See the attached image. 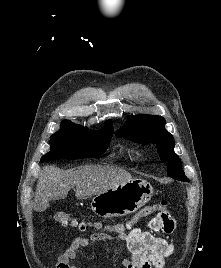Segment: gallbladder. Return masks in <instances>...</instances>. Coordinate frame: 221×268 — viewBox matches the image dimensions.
Wrapping results in <instances>:
<instances>
[{"label":"gallbladder","mask_w":221,"mask_h":268,"mask_svg":"<svg viewBox=\"0 0 221 268\" xmlns=\"http://www.w3.org/2000/svg\"><path fill=\"white\" fill-rule=\"evenodd\" d=\"M47 202H36V205L33 206V209L36 210L37 213H46Z\"/></svg>","instance_id":"bac80fb5"}]
</instances>
